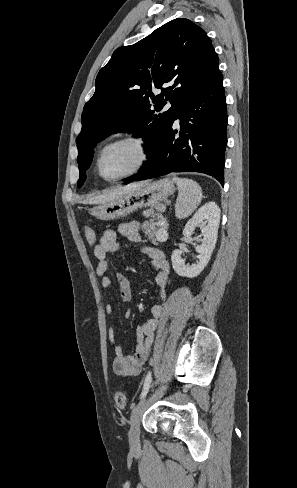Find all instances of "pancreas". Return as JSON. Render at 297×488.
Wrapping results in <instances>:
<instances>
[{"instance_id":"1","label":"pancreas","mask_w":297,"mask_h":488,"mask_svg":"<svg viewBox=\"0 0 297 488\" xmlns=\"http://www.w3.org/2000/svg\"><path fill=\"white\" fill-rule=\"evenodd\" d=\"M143 216H145V217L151 216L152 217V219L149 222H146L145 226L146 225L152 226V232L150 233L149 239H151L153 242H155L156 241V238L155 237H156V234H157V231H156V227L155 226L158 223L154 222L155 219H156V213L154 212V208L151 207L148 210H144L143 211ZM163 220L164 219H161L160 220L159 225H160L161 228H166L167 227V224H166V222L163 224Z\"/></svg>"}]
</instances>
